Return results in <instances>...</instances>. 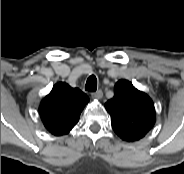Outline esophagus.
<instances>
[{"instance_id": "34e87169", "label": "esophagus", "mask_w": 184, "mask_h": 174, "mask_svg": "<svg viewBox=\"0 0 184 174\" xmlns=\"http://www.w3.org/2000/svg\"><path fill=\"white\" fill-rule=\"evenodd\" d=\"M91 96H92V98L99 100L102 98L103 92L101 90H98L96 92H92Z\"/></svg>"}]
</instances>
